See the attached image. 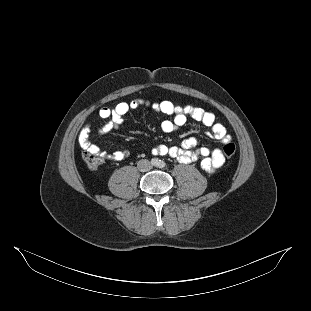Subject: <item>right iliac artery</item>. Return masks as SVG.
Segmentation results:
<instances>
[{
  "instance_id": "82829eb1",
  "label": "right iliac artery",
  "mask_w": 311,
  "mask_h": 311,
  "mask_svg": "<svg viewBox=\"0 0 311 311\" xmlns=\"http://www.w3.org/2000/svg\"><path fill=\"white\" fill-rule=\"evenodd\" d=\"M151 164H152V165H157V164H158V159L153 158V159L151 160Z\"/></svg>"
}]
</instances>
